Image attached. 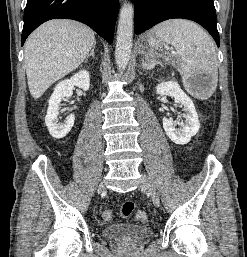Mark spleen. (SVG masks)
<instances>
[{"instance_id": "1", "label": "spleen", "mask_w": 247, "mask_h": 257, "mask_svg": "<svg viewBox=\"0 0 247 257\" xmlns=\"http://www.w3.org/2000/svg\"><path fill=\"white\" fill-rule=\"evenodd\" d=\"M148 42L159 50L168 44L177 49L183 71V85L188 91L192 89V77L207 73L209 84L196 96L207 99L213 94L218 81L217 54L212 39L201 27L184 19L164 21L151 30Z\"/></svg>"}]
</instances>
